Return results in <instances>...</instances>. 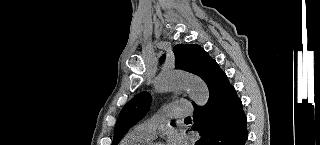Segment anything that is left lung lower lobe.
I'll list each match as a JSON object with an SVG mask.
<instances>
[{"instance_id": "0a47b994", "label": "left lung lower lobe", "mask_w": 320, "mask_h": 145, "mask_svg": "<svg viewBox=\"0 0 320 145\" xmlns=\"http://www.w3.org/2000/svg\"><path fill=\"white\" fill-rule=\"evenodd\" d=\"M200 77L208 86L209 100L205 106L194 104L192 129L201 135L195 145H245L247 119L228 77L215 60Z\"/></svg>"}]
</instances>
